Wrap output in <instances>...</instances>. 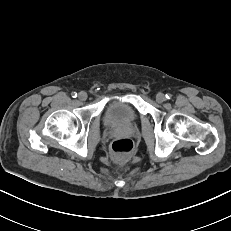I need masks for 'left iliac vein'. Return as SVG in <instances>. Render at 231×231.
I'll return each mask as SVG.
<instances>
[{
  "mask_svg": "<svg viewBox=\"0 0 231 231\" xmlns=\"http://www.w3.org/2000/svg\"><path fill=\"white\" fill-rule=\"evenodd\" d=\"M166 100L165 95L163 93H158L156 95V101L158 103H163Z\"/></svg>",
  "mask_w": 231,
  "mask_h": 231,
  "instance_id": "1",
  "label": "left iliac vein"
}]
</instances>
